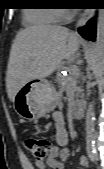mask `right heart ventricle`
Returning a JSON list of instances; mask_svg holds the SVG:
<instances>
[{
  "label": "right heart ventricle",
  "mask_w": 104,
  "mask_h": 169,
  "mask_svg": "<svg viewBox=\"0 0 104 169\" xmlns=\"http://www.w3.org/2000/svg\"><path fill=\"white\" fill-rule=\"evenodd\" d=\"M25 16L32 23L48 25L59 21L60 11L55 8L30 9Z\"/></svg>",
  "instance_id": "1"
}]
</instances>
